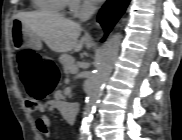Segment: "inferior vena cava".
<instances>
[{"instance_id":"inferior-vena-cava-1","label":"inferior vena cava","mask_w":182,"mask_h":140,"mask_svg":"<svg viewBox=\"0 0 182 140\" xmlns=\"http://www.w3.org/2000/svg\"><path fill=\"white\" fill-rule=\"evenodd\" d=\"M95 11H96V7L92 3L90 2L85 3L83 11L80 14L81 21L88 20L94 14Z\"/></svg>"}]
</instances>
